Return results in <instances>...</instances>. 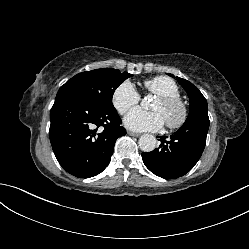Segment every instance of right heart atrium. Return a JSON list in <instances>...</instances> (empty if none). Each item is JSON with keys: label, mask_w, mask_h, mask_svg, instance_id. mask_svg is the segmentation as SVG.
<instances>
[{"label": "right heart atrium", "mask_w": 249, "mask_h": 249, "mask_svg": "<svg viewBox=\"0 0 249 249\" xmlns=\"http://www.w3.org/2000/svg\"><path fill=\"white\" fill-rule=\"evenodd\" d=\"M111 100L118 113L124 114L140 101V94L131 82L123 81L113 91Z\"/></svg>", "instance_id": "right-heart-atrium-1"}]
</instances>
